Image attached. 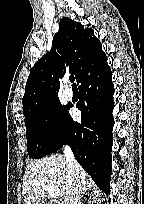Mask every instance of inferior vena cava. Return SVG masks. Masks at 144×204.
Segmentation results:
<instances>
[{
    "label": "inferior vena cava",
    "mask_w": 144,
    "mask_h": 204,
    "mask_svg": "<svg viewBox=\"0 0 144 204\" xmlns=\"http://www.w3.org/2000/svg\"><path fill=\"white\" fill-rule=\"evenodd\" d=\"M64 155L68 164L70 190L65 196L63 204H77L83 190L82 184L77 177L79 164L77 163L71 148L67 145L64 147Z\"/></svg>",
    "instance_id": "602c4592"
}]
</instances>
